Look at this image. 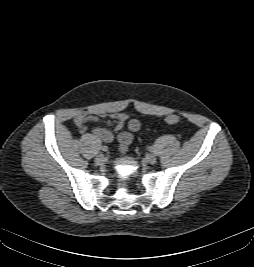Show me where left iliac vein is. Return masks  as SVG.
<instances>
[{
    "instance_id": "4c4485c4",
    "label": "left iliac vein",
    "mask_w": 254,
    "mask_h": 267,
    "mask_svg": "<svg viewBox=\"0 0 254 267\" xmlns=\"http://www.w3.org/2000/svg\"><path fill=\"white\" fill-rule=\"evenodd\" d=\"M145 161H146L148 164H155L156 161H157V158H156L155 155L150 154V155H147V156L145 157Z\"/></svg>"
}]
</instances>
